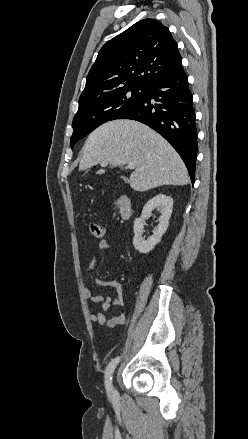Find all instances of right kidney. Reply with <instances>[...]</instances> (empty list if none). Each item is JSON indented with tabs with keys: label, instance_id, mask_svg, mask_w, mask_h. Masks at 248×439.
<instances>
[{
	"label": "right kidney",
	"instance_id": "obj_1",
	"mask_svg": "<svg viewBox=\"0 0 248 439\" xmlns=\"http://www.w3.org/2000/svg\"><path fill=\"white\" fill-rule=\"evenodd\" d=\"M156 208L159 209L161 212L159 224L154 230L153 235L150 236L147 240H144L142 237V233L145 219L150 217L152 215V211ZM172 208L173 199L165 194H158L145 204L142 210L141 217L137 218L134 221L133 225V230L135 234L133 238V245L137 251L142 254H146L152 251L155 245L160 242L161 237L168 228L169 218L172 214Z\"/></svg>",
	"mask_w": 248,
	"mask_h": 439
}]
</instances>
